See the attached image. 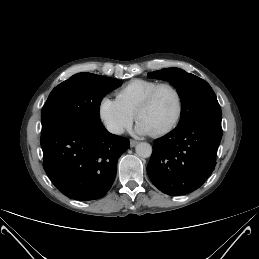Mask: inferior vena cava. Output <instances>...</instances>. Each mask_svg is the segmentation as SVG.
Wrapping results in <instances>:
<instances>
[{"instance_id": "602c4592", "label": "inferior vena cava", "mask_w": 259, "mask_h": 259, "mask_svg": "<svg viewBox=\"0 0 259 259\" xmlns=\"http://www.w3.org/2000/svg\"><path fill=\"white\" fill-rule=\"evenodd\" d=\"M107 129L109 132L117 135L124 133L123 127L117 124H110L107 126Z\"/></svg>"}]
</instances>
